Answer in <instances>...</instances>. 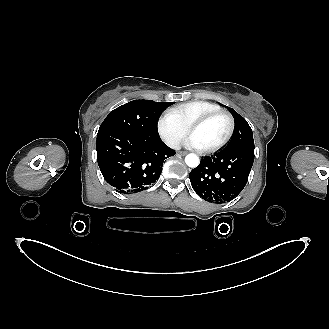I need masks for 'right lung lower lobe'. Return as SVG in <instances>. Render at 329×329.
<instances>
[{
    "instance_id": "1",
    "label": "right lung lower lobe",
    "mask_w": 329,
    "mask_h": 329,
    "mask_svg": "<svg viewBox=\"0 0 329 329\" xmlns=\"http://www.w3.org/2000/svg\"><path fill=\"white\" fill-rule=\"evenodd\" d=\"M175 150L160 138L122 131L97 134V161L104 179L116 191L132 194L148 189L160 177Z\"/></svg>"
}]
</instances>
